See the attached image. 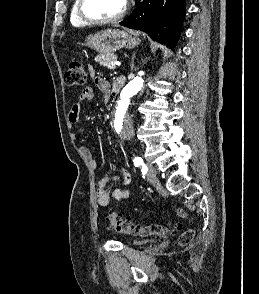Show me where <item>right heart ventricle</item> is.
Returning a JSON list of instances; mask_svg holds the SVG:
<instances>
[{"label": "right heart ventricle", "mask_w": 259, "mask_h": 294, "mask_svg": "<svg viewBox=\"0 0 259 294\" xmlns=\"http://www.w3.org/2000/svg\"><path fill=\"white\" fill-rule=\"evenodd\" d=\"M77 4L78 0H74L70 12V23L73 27L82 28L85 27L86 24L82 22L77 14Z\"/></svg>", "instance_id": "right-heart-ventricle-1"}]
</instances>
